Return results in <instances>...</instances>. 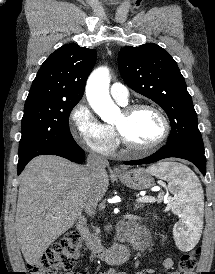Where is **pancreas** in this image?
Here are the masks:
<instances>
[{
  "label": "pancreas",
  "instance_id": "1",
  "mask_svg": "<svg viewBox=\"0 0 215 274\" xmlns=\"http://www.w3.org/2000/svg\"><path fill=\"white\" fill-rule=\"evenodd\" d=\"M99 233H100V229L96 228L95 233L92 235L93 239L96 240L98 243H100V240H99V237H98Z\"/></svg>",
  "mask_w": 215,
  "mask_h": 274
}]
</instances>
